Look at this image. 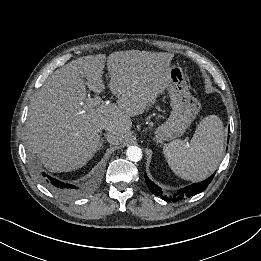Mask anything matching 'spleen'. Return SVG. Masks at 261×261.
<instances>
[{"instance_id":"1","label":"spleen","mask_w":261,"mask_h":261,"mask_svg":"<svg viewBox=\"0 0 261 261\" xmlns=\"http://www.w3.org/2000/svg\"><path fill=\"white\" fill-rule=\"evenodd\" d=\"M164 156L179 177L201 181L214 172L223 157L224 127L216 115L205 117L197 126L190 144L175 140L163 147Z\"/></svg>"}]
</instances>
